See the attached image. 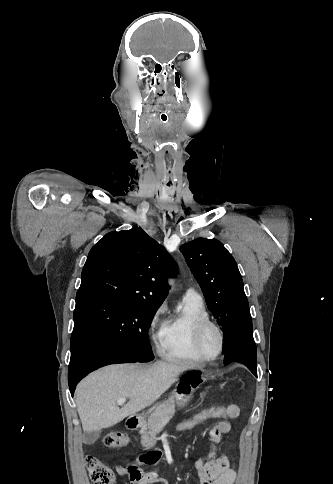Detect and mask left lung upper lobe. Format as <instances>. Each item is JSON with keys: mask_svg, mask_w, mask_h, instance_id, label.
Segmentation results:
<instances>
[{"mask_svg": "<svg viewBox=\"0 0 333 484\" xmlns=\"http://www.w3.org/2000/svg\"><path fill=\"white\" fill-rule=\"evenodd\" d=\"M187 264L202 288L208 309L224 333L223 353L234 327L250 315L237 264L216 239L198 238L181 246Z\"/></svg>", "mask_w": 333, "mask_h": 484, "instance_id": "5c2ea615", "label": "left lung upper lobe"}]
</instances>
